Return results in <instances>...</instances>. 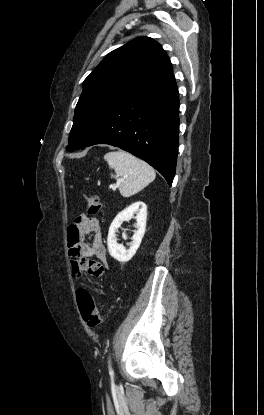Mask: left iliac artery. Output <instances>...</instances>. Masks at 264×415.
<instances>
[{
  "instance_id": "obj_1",
  "label": "left iliac artery",
  "mask_w": 264,
  "mask_h": 415,
  "mask_svg": "<svg viewBox=\"0 0 264 415\" xmlns=\"http://www.w3.org/2000/svg\"><path fill=\"white\" fill-rule=\"evenodd\" d=\"M109 373L112 377L114 376V371L112 370V368L110 366V361H109Z\"/></svg>"
}]
</instances>
